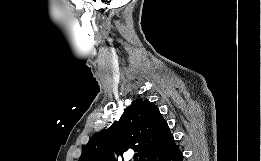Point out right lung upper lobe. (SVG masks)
I'll list each match as a JSON object with an SVG mask.
<instances>
[{
  "instance_id": "1",
  "label": "right lung upper lobe",
  "mask_w": 261,
  "mask_h": 161,
  "mask_svg": "<svg viewBox=\"0 0 261 161\" xmlns=\"http://www.w3.org/2000/svg\"><path fill=\"white\" fill-rule=\"evenodd\" d=\"M175 144L167 122L157 106L137 99L126 108L119 121L102 130L83 145L79 161H115L113 152L122 155L132 148L139 161Z\"/></svg>"
}]
</instances>
